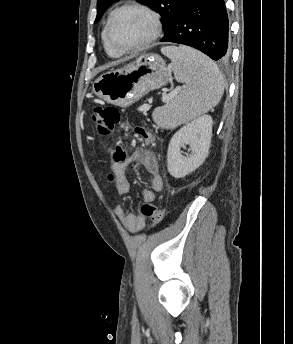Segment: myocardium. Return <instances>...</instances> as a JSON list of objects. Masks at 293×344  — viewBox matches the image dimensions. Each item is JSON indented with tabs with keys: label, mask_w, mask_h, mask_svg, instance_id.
I'll use <instances>...</instances> for the list:
<instances>
[{
	"label": "myocardium",
	"mask_w": 293,
	"mask_h": 344,
	"mask_svg": "<svg viewBox=\"0 0 293 344\" xmlns=\"http://www.w3.org/2000/svg\"><path fill=\"white\" fill-rule=\"evenodd\" d=\"M127 9H134V10H138L142 13H144L150 21V33L148 34V36L140 43L130 46V47H125V48H120L117 47L111 39L110 36V29H111V25L112 22L115 18V16L120 13L121 11L127 10ZM161 30H162V23H161V19L159 14L154 11L152 8H150L149 6L139 3V2H126L118 7H116L109 15L107 23L105 25L104 28V34H105V39L106 42L108 44V46L115 52L119 53V54H126V53H132V52H137L140 50L145 49L146 47H148L149 45H151L154 41H156L160 34H161Z\"/></svg>",
	"instance_id": "f54148a6"
}]
</instances>
